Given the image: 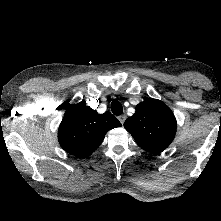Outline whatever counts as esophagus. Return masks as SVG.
Returning <instances> with one entry per match:
<instances>
[{
  "label": "esophagus",
  "mask_w": 221,
  "mask_h": 221,
  "mask_svg": "<svg viewBox=\"0 0 221 221\" xmlns=\"http://www.w3.org/2000/svg\"><path fill=\"white\" fill-rule=\"evenodd\" d=\"M118 120L120 121L121 124H123L126 120V115H121L118 117Z\"/></svg>",
  "instance_id": "esophagus-1"
}]
</instances>
